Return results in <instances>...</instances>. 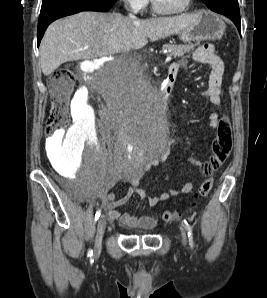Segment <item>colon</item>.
<instances>
[{
    "label": "colon",
    "mask_w": 267,
    "mask_h": 298,
    "mask_svg": "<svg viewBox=\"0 0 267 298\" xmlns=\"http://www.w3.org/2000/svg\"><path fill=\"white\" fill-rule=\"evenodd\" d=\"M52 106L47 118L46 129L50 137L69 125V101L74 88V77L71 70L62 68L56 70L49 80ZM217 132L212 142V153L207 162L201 164L203 174L207 178L198 189V197H206L212 189V173L221 168L232 148L233 136L229 119L221 117ZM161 217L166 222L175 221L178 218L176 211L165 210Z\"/></svg>",
    "instance_id": "1"
}]
</instances>
